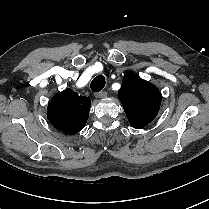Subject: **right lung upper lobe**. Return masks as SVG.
Returning <instances> with one entry per match:
<instances>
[{
  "label": "right lung upper lobe",
  "instance_id": "right-lung-upper-lobe-1",
  "mask_svg": "<svg viewBox=\"0 0 209 209\" xmlns=\"http://www.w3.org/2000/svg\"><path fill=\"white\" fill-rule=\"evenodd\" d=\"M91 99L78 95L70 88L53 96L48 104L47 118L58 130L74 134L83 129L88 120Z\"/></svg>",
  "mask_w": 209,
  "mask_h": 209
}]
</instances>
